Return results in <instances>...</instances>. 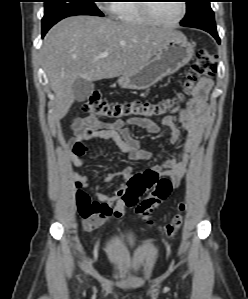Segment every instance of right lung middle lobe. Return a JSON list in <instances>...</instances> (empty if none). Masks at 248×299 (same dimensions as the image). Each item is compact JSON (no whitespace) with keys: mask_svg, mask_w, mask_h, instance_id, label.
I'll use <instances>...</instances> for the list:
<instances>
[{"mask_svg":"<svg viewBox=\"0 0 248 299\" xmlns=\"http://www.w3.org/2000/svg\"><path fill=\"white\" fill-rule=\"evenodd\" d=\"M94 1L95 0H45L42 32H47L55 23L68 16H103V13L96 7Z\"/></svg>","mask_w":248,"mask_h":299,"instance_id":"obj_1","label":"right lung middle lobe"}]
</instances>
